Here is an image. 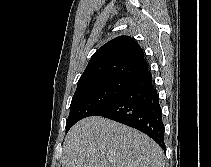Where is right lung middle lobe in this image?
Returning <instances> with one entry per match:
<instances>
[{
    "mask_svg": "<svg viewBox=\"0 0 211 167\" xmlns=\"http://www.w3.org/2000/svg\"><path fill=\"white\" fill-rule=\"evenodd\" d=\"M131 85L130 78H101L81 85L72 98L66 132L79 120L94 115Z\"/></svg>",
    "mask_w": 211,
    "mask_h": 167,
    "instance_id": "dd1d6c3e",
    "label": "right lung middle lobe"
}]
</instances>
